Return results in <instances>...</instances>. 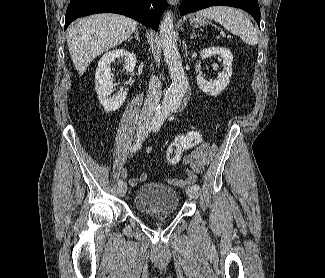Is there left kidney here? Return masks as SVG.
Instances as JSON below:
<instances>
[{
  "mask_svg": "<svg viewBox=\"0 0 325 278\" xmlns=\"http://www.w3.org/2000/svg\"><path fill=\"white\" fill-rule=\"evenodd\" d=\"M213 55H218L223 59V70L218 74L214 81L205 80L200 74L197 76V84L199 88L206 94L211 96L219 95L229 84L232 75L233 55L230 50L219 47H211L201 51L200 56L206 59Z\"/></svg>",
  "mask_w": 325,
  "mask_h": 278,
  "instance_id": "1",
  "label": "left kidney"
}]
</instances>
